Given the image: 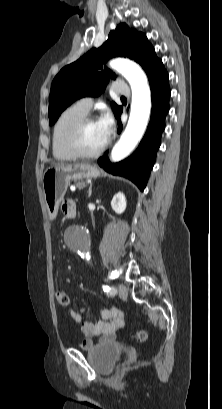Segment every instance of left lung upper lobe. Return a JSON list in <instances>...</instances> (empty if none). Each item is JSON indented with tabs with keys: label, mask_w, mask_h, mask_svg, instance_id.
<instances>
[{
	"label": "left lung upper lobe",
	"mask_w": 222,
	"mask_h": 409,
	"mask_svg": "<svg viewBox=\"0 0 222 409\" xmlns=\"http://www.w3.org/2000/svg\"><path fill=\"white\" fill-rule=\"evenodd\" d=\"M116 56L129 57L138 62L149 80L164 70L162 61L156 57L146 36L121 23L115 31L110 32L107 41L100 48L91 49L56 75L49 98L50 125L75 100L85 96H99L104 91L109 78H115L104 64ZM111 105L116 117L122 107L114 102Z\"/></svg>",
	"instance_id": "left-lung-upper-lobe-1"
}]
</instances>
